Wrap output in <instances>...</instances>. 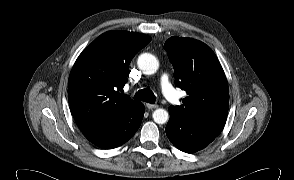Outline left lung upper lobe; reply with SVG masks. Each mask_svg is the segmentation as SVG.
<instances>
[{
  "label": "left lung upper lobe",
  "instance_id": "5c2ea615",
  "mask_svg": "<svg viewBox=\"0 0 294 180\" xmlns=\"http://www.w3.org/2000/svg\"><path fill=\"white\" fill-rule=\"evenodd\" d=\"M174 67L175 85L185 90L182 105L171 106L193 120H226L229 88L223 68L205 43L173 36L164 44Z\"/></svg>",
  "mask_w": 294,
  "mask_h": 180
}]
</instances>
